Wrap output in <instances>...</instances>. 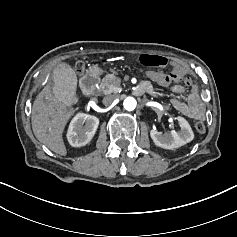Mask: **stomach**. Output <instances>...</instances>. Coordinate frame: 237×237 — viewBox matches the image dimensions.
Masks as SVG:
<instances>
[{"label":"stomach","mask_w":237,"mask_h":237,"mask_svg":"<svg viewBox=\"0 0 237 237\" xmlns=\"http://www.w3.org/2000/svg\"><path fill=\"white\" fill-rule=\"evenodd\" d=\"M103 74V70L100 69V72L97 74L98 76L102 75Z\"/></svg>","instance_id":"0dacf381"}]
</instances>
